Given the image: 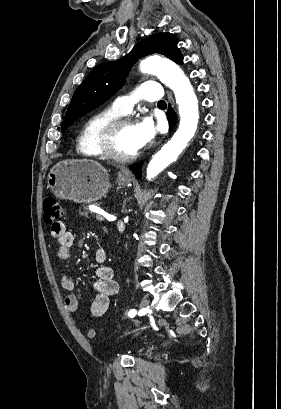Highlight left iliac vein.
<instances>
[{
  "mask_svg": "<svg viewBox=\"0 0 281 409\" xmlns=\"http://www.w3.org/2000/svg\"><path fill=\"white\" fill-rule=\"evenodd\" d=\"M140 308L147 312L149 310V300L147 299H142L141 303H140Z\"/></svg>",
  "mask_w": 281,
  "mask_h": 409,
  "instance_id": "obj_1",
  "label": "left iliac vein"
}]
</instances>
